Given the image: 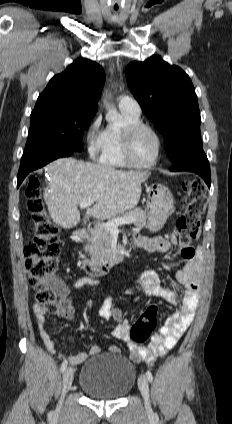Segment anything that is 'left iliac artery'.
I'll list each match as a JSON object with an SVG mask.
<instances>
[{
	"instance_id": "1",
	"label": "left iliac artery",
	"mask_w": 232,
	"mask_h": 424,
	"mask_svg": "<svg viewBox=\"0 0 232 424\" xmlns=\"http://www.w3.org/2000/svg\"><path fill=\"white\" fill-rule=\"evenodd\" d=\"M146 377H147V379H148L150 382H152V380H153V375H152V373H151L150 371H147V372H146Z\"/></svg>"
}]
</instances>
